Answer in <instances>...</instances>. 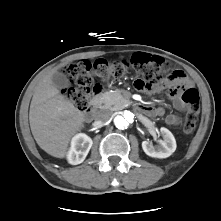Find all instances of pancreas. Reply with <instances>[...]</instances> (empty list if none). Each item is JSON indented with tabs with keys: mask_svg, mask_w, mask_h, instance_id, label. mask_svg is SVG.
<instances>
[{
	"mask_svg": "<svg viewBox=\"0 0 221 221\" xmlns=\"http://www.w3.org/2000/svg\"><path fill=\"white\" fill-rule=\"evenodd\" d=\"M125 97L119 91H109L99 97V106L101 108L118 110L123 107Z\"/></svg>",
	"mask_w": 221,
	"mask_h": 221,
	"instance_id": "1",
	"label": "pancreas"
}]
</instances>
